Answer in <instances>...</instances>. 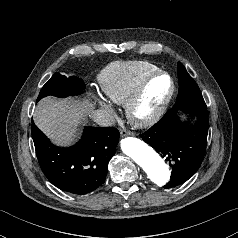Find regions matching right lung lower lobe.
<instances>
[{"label": "right lung lower lobe", "instance_id": "1", "mask_svg": "<svg viewBox=\"0 0 238 238\" xmlns=\"http://www.w3.org/2000/svg\"><path fill=\"white\" fill-rule=\"evenodd\" d=\"M31 133L39 165L54 186L82 195L104 183L119 140L117 129L85 127L81 139L69 148L52 144L33 122Z\"/></svg>", "mask_w": 238, "mask_h": 238}]
</instances>
